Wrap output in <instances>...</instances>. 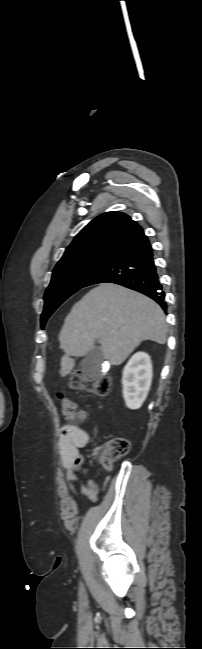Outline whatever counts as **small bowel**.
I'll return each instance as SVG.
<instances>
[{
  "instance_id": "1",
  "label": "small bowel",
  "mask_w": 202,
  "mask_h": 649,
  "mask_svg": "<svg viewBox=\"0 0 202 649\" xmlns=\"http://www.w3.org/2000/svg\"><path fill=\"white\" fill-rule=\"evenodd\" d=\"M89 434L78 426L67 424L61 428L59 439V450L62 464L66 470L65 480L69 492L76 498L77 491L73 482H78L80 492L86 496L92 504H95L100 496V487L92 479H83L88 474L84 465V456L81 449L89 444Z\"/></svg>"
}]
</instances>
